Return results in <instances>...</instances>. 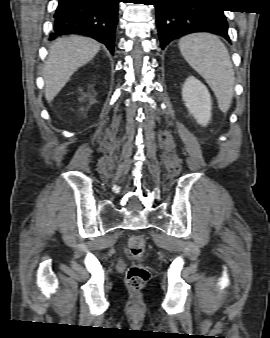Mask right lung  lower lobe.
<instances>
[{
	"label": "right lung lower lobe",
	"instance_id": "obj_1",
	"mask_svg": "<svg viewBox=\"0 0 270 338\" xmlns=\"http://www.w3.org/2000/svg\"><path fill=\"white\" fill-rule=\"evenodd\" d=\"M120 0H59L54 14V31L49 39L80 34L92 37L114 50Z\"/></svg>",
	"mask_w": 270,
	"mask_h": 338
}]
</instances>
